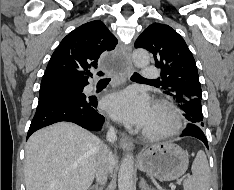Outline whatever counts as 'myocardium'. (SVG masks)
Returning a JSON list of instances; mask_svg holds the SVG:
<instances>
[{
	"label": "myocardium",
	"instance_id": "1",
	"mask_svg": "<svg viewBox=\"0 0 234 190\" xmlns=\"http://www.w3.org/2000/svg\"><path fill=\"white\" fill-rule=\"evenodd\" d=\"M154 110L164 115L168 123L160 129L144 128L143 136L147 139L157 140L176 135L182 128V120L177 109L166 101H157L154 104Z\"/></svg>",
	"mask_w": 234,
	"mask_h": 190
}]
</instances>
